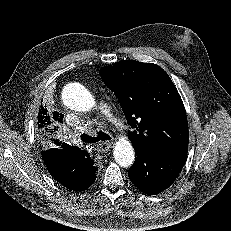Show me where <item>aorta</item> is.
<instances>
[{
	"label": "aorta",
	"mask_w": 231,
	"mask_h": 231,
	"mask_svg": "<svg viewBox=\"0 0 231 231\" xmlns=\"http://www.w3.org/2000/svg\"><path fill=\"white\" fill-rule=\"evenodd\" d=\"M63 104L75 111L88 112L96 104L94 96L81 84H67L61 94ZM115 161L124 168L130 167L135 160V153L129 139H119L113 151Z\"/></svg>",
	"instance_id": "762f6f07"
}]
</instances>
